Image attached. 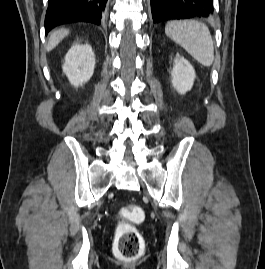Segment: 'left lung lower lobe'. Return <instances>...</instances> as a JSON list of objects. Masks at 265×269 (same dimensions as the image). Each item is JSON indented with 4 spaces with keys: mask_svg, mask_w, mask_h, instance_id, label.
<instances>
[{
    "mask_svg": "<svg viewBox=\"0 0 265 269\" xmlns=\"http://www.w3.org/2000/svg\"><path fill=\"white\" fill-rule=\"evenodd\" d=\"M154 23L185 18H208L213 0H151Z\"/></svg>",
    "mask_w": 265,
    "mask_h": 269,
    "instance_id": "obj_1",
    "label": "left lung lower lobe"
}]
</instances>
